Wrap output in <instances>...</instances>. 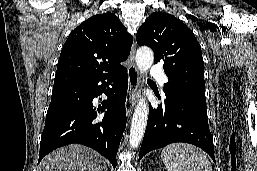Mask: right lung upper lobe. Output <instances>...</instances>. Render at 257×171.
<instances>
[{"label": "right lung upper lobe", "instance_id": "obj_1", "mask_svg": "<svg viewBox=\"0 0 257 171\" xmlns=\"http://www.w3.org/2000/svg\"><path fill=\"white\" fill-rule=\"evenodd\" d=\"M133 37L111 12L90 17L66 40L54 86L78 83L118 69L130 53Z\"/></svg>", "mask_w": 257, "mask_h": 171}]
</instances>
